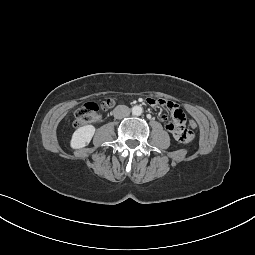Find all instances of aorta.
<instances>
[{"label":"aorta","mask_w":255,"mask_h":255,"mask_svg":"<svg viewBox=\"0 0 255 255\" xmlns=\"http://www.w3.org/2000/svg\"><path fill=\"white\" fill-rule=\"evenodd\" d=\"M142 112H143V109H142L141 106L136 105V106L132 107V114L133 115L139 116V115L142 114Z\"/></svg>","instance_id":"762f6f07"}]
</instances>
